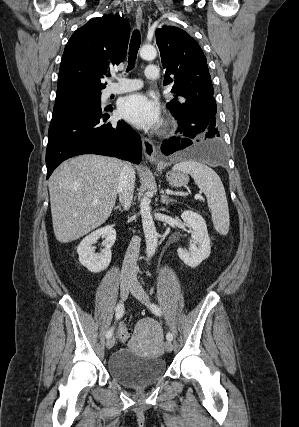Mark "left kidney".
<instances>
[{
	"label": "left kidney",
	"instance_id": "5707ae66",
	"mask_svg": "<svg viewBox=\"0 0 299 427\" xmlns=\"http://www.w3.org/2000/svg\"><path fill=\"white\" fill-rule=\"evenodd\" d=\"M184 223L191 227V238L189 249L179 248L177 250L179 258L189 267L198 266L207 259L211 252L210 238L208 236L207 225L204 218L191 210H186L181 214Z\"/></svg>",
	"mask_w": 299,
	"mask_h": 427
}]
</instances>
